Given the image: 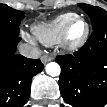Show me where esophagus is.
Listing matches in <instances>:
<instances>
[{
  "label": "esophagus",
  "mask_w": 107,
  "mask_h": 107,
  "mask_svg": "<svg viewBox=\"0 0 107 107\" xmlns=\"http://www.w3.org/2000/svg\"><path fill=\"white\" fill-rule=\"evenodd\" d=\"M51 60H53V57H51V56H49V55H43V56L41 57V61H42L43 64H46L47 62H49V61H51Z\"/></svg>",
  "instance_id": "esophagus-1"
}]
</instances>
